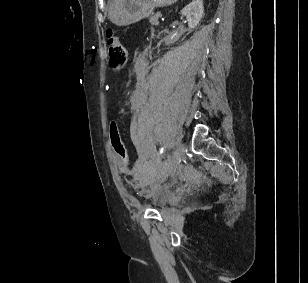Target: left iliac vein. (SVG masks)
Returning <instances> with one entry per match:
<instances>
[{"label": "left iliac vein", "instance_id": "4c4485c4", "mask_svg": "<svg viewBox=\"0 0 308 283\" xmlns=\"http://www.w3.org/2000/svg\"><path fill=\"white\" fill-rule=\"evenodd\" d=\"M186 151V145L180 143L175 149L172 157L171 167H175L184 157Z\"/></svg>", "mask_w": 308, "mask_h": 283}]
</instances>
